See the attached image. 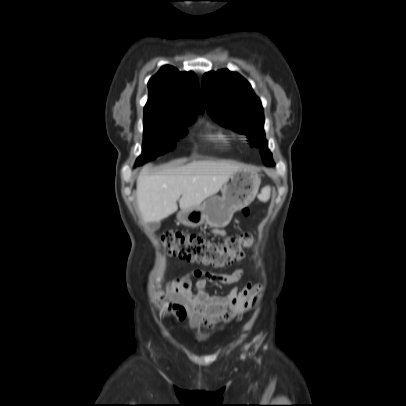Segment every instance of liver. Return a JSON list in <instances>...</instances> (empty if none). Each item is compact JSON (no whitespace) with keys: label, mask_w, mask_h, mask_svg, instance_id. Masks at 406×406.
I'll use <instances>...</instances> for the list:
<instances>
[{"label":"liver","mask_w":406,"mask_h":406,"mask_svg":"<svg viewBox=\"0 0 406 406\" xmlns=\"http://www.w3.org/2000/svg\"><path fill=\"white\" fill-rule=\"evenodd\" d=\"M244 165L226 161L199 160L184 166L151 173L152 166L142 168L137 180V203L141 218L159 222L177 211L199 206L216 194Z\"/></svg>","instance_id":"6515ba94"}]
</instances>
